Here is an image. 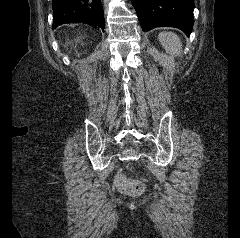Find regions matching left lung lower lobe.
Listing matches in <instances>:
<instances>
[{"mask_svg": "<svg viewBox=\"0 0 240 238\" xmlns=\"http://www.w3.org/2000/svg\"><path fill=\"white\" fill-rule=\"evenodd\" d=\"M142 30L176 27L188 37L193 28V0H131Z\"/></svg>", "mask_w": 240, "mask_h": 238, "instance_id": "left-lung-lower-lobe-1", "label": "left lung lower lobe"}]
</instances>
